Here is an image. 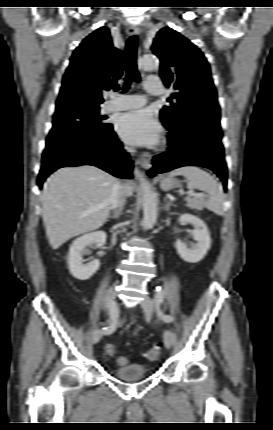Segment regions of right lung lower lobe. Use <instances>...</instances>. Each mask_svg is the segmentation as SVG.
<instances>
[{"mask_svg":"<svg viewBox=\"0 0 273 430\" xmlns=\"http://www.w3.org/2000/svg\"><path fill=\"white\" fill-rule=\"evenodd\" d=\"M38 186L61 167L94 165L120 178H132V165L121 142L111 129L96 137L81 139L46 148L42 154Z\"/></svg>","mask_w":273,"mask_h":430,"instance_id":"right-lung-lower-lobe-1","label":"right lung lower lobe"}]
</instances>
